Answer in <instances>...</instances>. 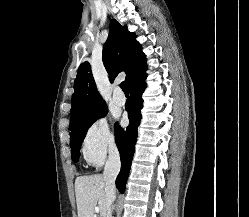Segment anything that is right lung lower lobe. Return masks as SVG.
<instances>
[{
	"label": "right lung lower lobe",
	"instance_id": "98d812e1",
	"mask_svg": "<svg viewBox=\"0 0 249 217\" xmlns=\"http://www.w3.org/2000/svg\"><path fill=\"white\" fill-rule=\"evenodd\" d=\"M147 65L134 76L129 83L130 98L126 102L125 109L128 111V118L130 124L124 131L118 124L115 126V141L120 152L121 171L116 179V187L120 192H124L126 181L129 175L131 162L135 150V143L137 140V127L142 118L140 110L142 109L143 99L141 95L146 88Z\"/></svg>",
	"mask_w": 249,
	"mask_h": 217
}]
</instances>
